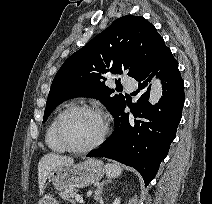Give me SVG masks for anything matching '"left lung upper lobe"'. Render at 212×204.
<instances>
[{"mask_svg":"<svg viewBox=\"0 0 212 204\" xmlns=\"http://www.w3.org/2000/svg\"><path fill=\"white\" fill-rule=\"evenodd\" d=\"M167 48L156 28L143 17L128 15L115 20L63 63L52 82L43 122L60 103L75 96L95 97L115 113L125 96L113 95L105 77L127 70L135 78Z\"/></svg>","mask_w":212,"mask_h":204,"instance_id":"left-lung-upper-lobe-1","label":"left lung upper lobe"}]
</instances>
